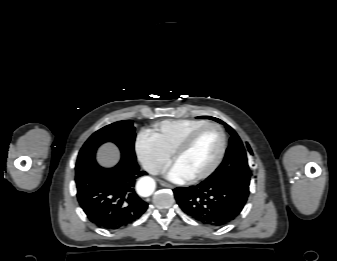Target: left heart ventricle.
<instances>
[{
    "label": "left heart ventricle",
    "instance_id": "left-heart-ventricle-1",
    "mask_svg": "<svg viewBox=\"0 0 337 261\" xmlns=\"http://www.w3.org/2000/svg\"><path fill=\"white\" fill-rule=\"evenodd\" d=\"M220 147V133L214 128H208L196 137L191 146L174 163L192 177L203 172L213 163Z\"/></svg>",
    "mask_w": 337,
    "mask_h": 261
}]
</instances>
